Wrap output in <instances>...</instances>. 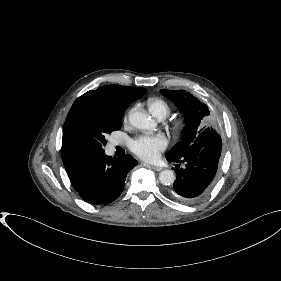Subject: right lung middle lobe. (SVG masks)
<instances>
[{
	"label": "right lung middle lobe",
	"mask_w": 281,
	"mask_h": 281,
	"mask_svg": "<svg viewBox=\"0 0 281 281\" xmlns=\"http://www.w3.org/2000/svg\"><path fill=\"white\" fill-rule=\"evenodd\" d=\"M126 108H118L83 94L72 105L63 127L62 160L65 169L103 152L105 136L121 128Z\"/></svg>",
	"instance_id": "1"
}]
</instances>
